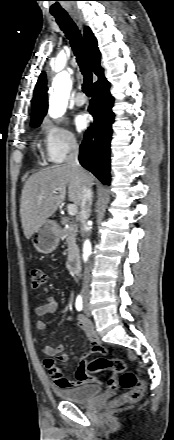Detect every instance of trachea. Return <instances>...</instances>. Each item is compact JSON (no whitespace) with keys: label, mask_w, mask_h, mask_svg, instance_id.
Here are the masks:
<instances>
[{"label":"trachea","mask_w":174,"mask_h":440,"mask_svg":"<svg viewBox=\"0 0 174 440\" xmlns=\"http://www.w3.org/2000/svg\"><path fill=\"white\" fill-rule=\"evenodd\" d=\"M56 21L70 41L76 56L80 70L84 76L82 85L83 92L87 96L92 95V70L84 46L83 38L74 21L68 15H55Z\"/></svg>","instance_id":"1"}]
</instances>
